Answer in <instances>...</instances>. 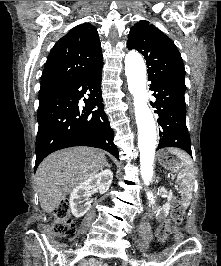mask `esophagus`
I'll list each match as a JSON object with an SVG mask.
<instances>
[{
  "label": "esophagus",
  "mask_w": 221,
  "mask_h": 266,
  "mask_svg": "<svg viewBox=\"0 0 221 266\" xmlns=\"http://www.w3.org/2000/svg\"><path fill=\"white\" fill-rule=\"evenodd\" d=\"M127 101L131 105V98L129 96L127 97Z\"/></svg>",
  "instance_id": "34e87169"
}]
</instances>
